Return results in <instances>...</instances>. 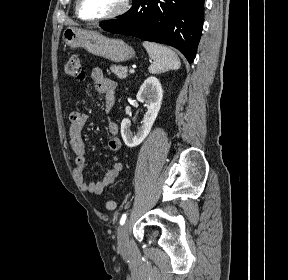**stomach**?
Instances as JSON below:
<instances>
[{
	"label": "stomach",
	"instance_id": "1",
	"mask_svg": "<svg viewBox=\"0 0 288 280\" xmlns=\"http://www.w3.org/2000/svg\"><path fill=\"white\" fill-rule=\"evenodd\" d=\"M63 40L70 48L83 47L89 53L113 62H123L135 56L134 49L121 39L108 38L93 30L68 27Z\"/></svg>",
	"mask_w": 288,
	"mask_h": 280
}]
</instances>
